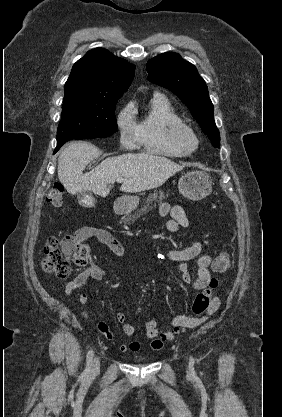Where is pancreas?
<instances>
[{"mask_svg":"<svg viewBox=\"0 0 282 417\" xmlns=\"http://www.w3.org/2000/svg\"><path fill=\"white\" fill-rule=\"evenodd\" d=\"M166 196H168V192L164 194V190H155V192H153V194H149L147 200H145L146 206H143V209H140V211H135L134 215H130V213H128L127 217H123L122 223H124V225H130V223H133L135 219H138V217H140V215L146 211L147 206H151L153 202L154 204H156V202H161V200L166 198Z\"/></svg>","mask_w":282,"mask_h":417,"instance_id":"pancreas-1","label":"pancreas"}]
</instances>
